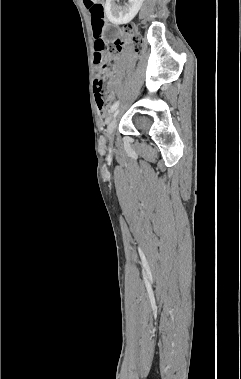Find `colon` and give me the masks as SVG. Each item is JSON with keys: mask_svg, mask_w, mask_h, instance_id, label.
I'll list each match as a JSON object with an SVG mask.
<instances>
[{"mask_svg": "<svg viewBox=\"0 0 241 379\" xmlns=\"http://www.w3.org/2000/svg\"><path fill=\"white\" fill-rule=\"evenodd\" d=\"M85 5L90 13L92 20L93 34L95 37V56L94 63L96 68L94 90L96 97V104L99 112L105 117H108L109 109L112 104L113 96L111 89L108 85L109 64L113 59V49L109 48L107 44L100 38L104 28V6L96 3L93 0H85ZM122 33L125 37H131L135 51H138L141 39L136 35V28L134 25L129 24L123 27ZM124 41L117 39L115 45L120 49Z\"/></svg>", "mask_w": 241, "mask_h": 379, "instance_id": "obj_1", "label": "colon"}]
</instances>
